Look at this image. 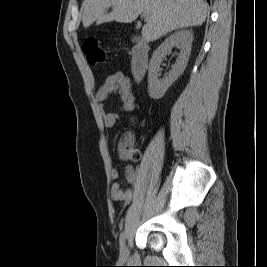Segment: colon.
<instances>
[{
    "label": "colon",
    "instance_id": "1",
    "mask_svg": "<svg viewBox=\"0 0 267 267\" xmlns=\"http://www.w3.org/2000/svg\"><path fill=\"white\" fill-rule=\"evenodd\" d=\"M83 52L88 63L92 66L98 65L105 60V52L95 40H87L83 44ZM117 154L120 159L126 161H138L141 158V152L136 146L131 134H124L119 139L117 145Z\"/></svg>",
    "mask_w": 267,
    "mask_h": 267
}]
</instances>
